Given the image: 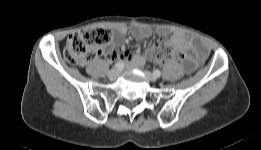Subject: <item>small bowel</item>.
<instances>
[{
	"mask_svg": "<svg viewBox=\"0 0 261 150\" xmlns=\"http://www.w3.org/2000/svg\"><path fill=\"white\" fill-rule=\"evenodd\" d=\"M127 32L128 29L126 27H119L115 31L111 46L108 49L107 58L111 61L122 59L135 67H140L145 63L144 56L123 52L118 49L122 45L124 36ZM131 34L134 40L140 41L151 37L153 31L147 27H133L131 29ZM171 41L176 47L188 53L183 64L185 70L188 72L199 65L207 55V49L202 43L188 39L183 35H175L171 38Z\"/></svg>",
	"mask_w": 261,
	"mask_h": 150,
	"instance_id": "c3829d8e",
	"label": "small bowel"
}]
</instances>
